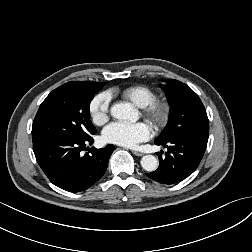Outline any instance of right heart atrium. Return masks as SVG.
<instances>
[{"label":"right heart atrium","mask_w":252,"mask_h":252,"mask_svg":"<svg viewBox=\"0 0 252 252\" xmlns=\"http://www.w3.org/2000/svg\"><path fill=\"white\" fill-rule=\"evenodd\" d=\"M88 110L94 124L104 125L110 117V95L107 93L95 95L89 103Z\"/></svg>","instance_id":"obj_1"}]
</instances>
